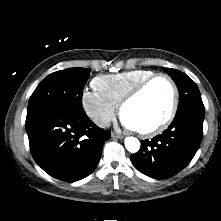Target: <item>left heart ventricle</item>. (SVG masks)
I'll return each instance as SVG.
<instances>
[{
  "label": "left heart ventricle",
  "instance_id": "b2bd125f",
  "mask_svg": "<svg viewBox=\"0 0 221 221\" xmlns=\"http://www.w3.org/2000/svg\"><path fill=\"white\" fill-rule=\"evenodd\" d=\"M171 101L170 85L164 79H158L150 84L140 96L125 106L122 116L130 121L134 129H149L166 117Z\"/></svg>",
  "mask_w": 221,
  "mask_h": 221
}]
</instances>
